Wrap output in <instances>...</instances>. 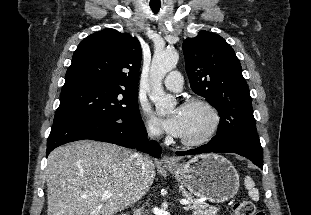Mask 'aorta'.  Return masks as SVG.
<instances>
[{
  "label": "aorta",
  "instance_id": "obj_1",
  "mask_svg": "<svg viewBox=\"0 0 311 215\" xmlns=\"http://www.w3.org/2000/svg\"><path fill=\"white\" fill-rule=\"evenodd\" d=\"M178 59L179 55L174 49L156 52L152 59L150 70L151 94L149 97L158 113L162 115L170 113L175 105L174 98L164 93L162 80L169 71L176 67Z\"/></svg>",
  "mask_w": 311,
  "mask_h": 215
}]
</instances>
